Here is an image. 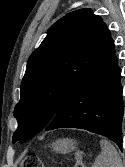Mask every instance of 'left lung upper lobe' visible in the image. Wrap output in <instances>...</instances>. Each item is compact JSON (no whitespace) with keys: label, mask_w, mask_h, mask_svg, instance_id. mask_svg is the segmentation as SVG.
I'll return each mask as SVG.
<instances>
[{"label":"left lung upper lobe","mask_w":125,"mask_h":167,"mask_svg":"<svg viewBox=\"0 0 125 167\" xmlns=\"http://www.w3.org/2000/svg\"><path fill=\"white\" fill-rule=\"evenodd\" d=\"M109 30L85 8L68 13L48 30L29 57L14 109L13 143L33 138L53 119L91 70Z\"/></svg>","instance_id":"5c2ea615"}]
</instances>
